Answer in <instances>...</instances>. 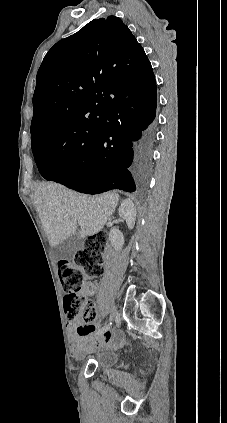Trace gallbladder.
Returning a JSON list of instances; mask_svg holds the SVG:
<instances>
[{"label":"gallbladder","mask_w":227,"mask_h":423,"mask_svg":"<svg viewBox=\"0 0 227 423\" xmlns=\"http://www.w3.org/2000/svg\"><path fill=\"white\" fill-rule=\"evenodd\" d=\"M81 247H83L82 239L78 235H72V237L64 239V241L53 247V255L56 261H59V259H68V261H71L75 257L76 251H79Z\"/></svg>","instance_id":"bac80fb5"}]
</instances>
